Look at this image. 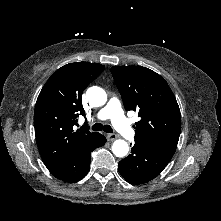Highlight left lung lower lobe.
Here are the masks:
<instances>
[{
	"label": "left lung lower lobe",
	"instance_id": "obj_1",
	"mask_svg": "<svg viewBox=\"0 0 221 221\" xmlns=\"http://www.w3.org/2000/svg\"><path fill=\"white\" fill-rule=\"evenodd\" d=\"M172 155L135 141L131 154L119 162L121 176L131 184H143L158 176Z\"/></svg>",
	"mask_w": 221,
	"mask_h": 221
}]
</instances>
